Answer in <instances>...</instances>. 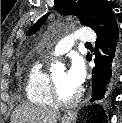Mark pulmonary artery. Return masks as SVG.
<instances>
[{"label": "pulmonary artery", "instance_id": "e3ab8cb5", "mask_svg": "<svg viewBox=\"0 0 122 123\" xmlns=\"http://www.w3.org/2000/svg\"><path fill=\"white\" fill-rule=\"evenodd\" d=\"M95 38V33L91 29L86 27L81 28L75 33L61 39L52 49L51 54L55 56L63 55L72 48L76 41L91 43L94 42Z\"/></svg>", "mask_w": 122, "mask_h": 123}]
</instances>
